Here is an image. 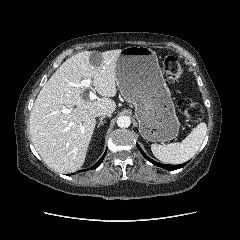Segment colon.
Returning <instances> with one entry per match:
<instances>
[{"instance_id": "obj_1", "label": "colon", "mask_w": 240, "mask_h": 240, "mask_svg": "<svg viewBox=\"0 0 240 240\" xmlns=\"http://www.w3.org/2000/svg\"><path fill=\"white\" fill-rule=\"evenodd\" d=\"M163 70L166 77L171 82L177 81L183 73L181 63L173 56H169L165 59L163 63ZM178 109L180 113L192 121H198L203 116L201 106L190 99L180 100L178 102Z\"/></svg>"}]
</instances>
